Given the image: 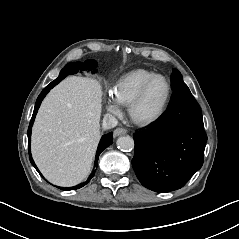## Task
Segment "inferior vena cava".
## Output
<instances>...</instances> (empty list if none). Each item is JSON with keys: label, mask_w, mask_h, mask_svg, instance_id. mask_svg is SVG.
Returning a JSON list of instances; mask_svg holds the SVG:
<instances>
[{"label": "inferior vena cava", "mask_w": 239, "mask_h": 239, "mask_svg": "<svg viewBox=\"0 0 239 239\" xmlns=\"http://www.w3.org/2000/svg\"><path fill=\"white\" fill-rule=\"evenodd\" d=\"M118 125L117 119L111 114H105L103 117V127L106 129L114 128Z\"/></svg>", "instance_id": "inferior-vena-cava-1"}]
</instances>
